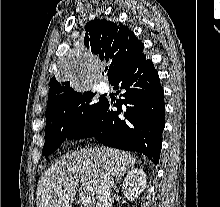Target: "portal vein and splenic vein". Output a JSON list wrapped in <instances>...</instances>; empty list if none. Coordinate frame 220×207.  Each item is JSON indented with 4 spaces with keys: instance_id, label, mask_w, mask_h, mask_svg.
<instances>
[{
    "instance_id": "portal-vein-and-splenic-vein-1",
    "label": "portal vein and splenic vein",
    "mask_w": 220,
    "mask_h": 207,
    "mask_svg": "<svg viewBox=\"0 0 220 207\" xmlns=\"http://www.w3.org/2000/svg\"><path fill=\"white\" fill-rule=\"evenodd\" d=\"M91 196L88 194L82 195L81 200L84 206H88L91 203Z\"/></svg>"
}]
</instances>
